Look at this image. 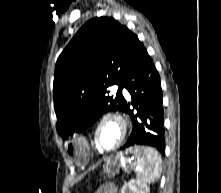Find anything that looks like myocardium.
Here are the masks:
<instances>
[{"instance_id": "1", "label": "myocardium", "mask_w": 221, "mask_h": 193, "mask_svg": "<svg viewBox=\"0 0 221 193\" xmlns=\"http://www.w3.org/2000/svg\"><path fill=\"white\" fill-rule=\"evenodd\" d=\"M107 121H112L114 123L117 124L118 128H119V138L117 140V142L110 148H104L100 145L99 141H98V133L99 130L101 128V126L107 122ZM127 129H128V124L127 121L125 120V118L120 115L119 113L116 112H107L105 114H103L97 121V123L95 124L94 127V132H93V141H94V145L95 147L103 153H107V152H111L116 150L117 148L120 147V145L123 143L126 134H127Z\"/></svg>"}]
</instances>
